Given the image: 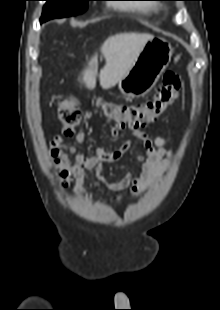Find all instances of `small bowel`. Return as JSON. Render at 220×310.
<instances>
[{
	"instance_id": "c3829d8e",
	"label": "small bowel",
	"mask_w": 220,
	"mask_h": 310,
	"mask_svg": "<svg viewBox=\"0 0 220 310\" xmlns=\"http://www.w3.org/2000/svg\"><path fill=\"white\" fill-rule=\"evenodd\" d=\"M134 136L143 142L145 155L136 154L135 159L142 164V172L137 177L127 174L118 182H108L102 175V165L104 162L118 161L131 148L129 141L123 143L119 148L106 150L98 148L90 155L77 151L73 146L64 142L61 135L55 136L49 144L48 154L52 164L60 168L59 177L61 185L68 187L70 182L75 180V191L77 194L87 196L83 182L88 171H94L98 181L107 188L114 191H127L131 197L137 198L155 183L160 176L169 168L173 153L165 148L168 140L162 137L148 136L142 131H134ZM109 135L113 138L119 135V130L110 128ZM78 144L85 143L87 135L85 132H78L74 136ZM73 157V160L70 159ZM113 198V201H117Z\"/></svg>"
}]
</instances>
